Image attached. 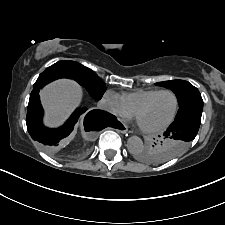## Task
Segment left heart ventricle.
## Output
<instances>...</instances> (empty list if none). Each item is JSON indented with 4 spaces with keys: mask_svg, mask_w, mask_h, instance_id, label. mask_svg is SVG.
I'll return each mask as SVG.
<instances>
[{
    "mask_svg": "<svg viewBox=\"0 0 225 225\" xmlns=\"http://www.w3.org/2000/svg\"><path fill=\"white\" fill-rule=\"evenodd\" d=\"M175 99L172 94L164 93L157 96L139 115V123L146 128L158 127L172 115Z\"/></svg>",
    "mask_w": 225,
    "mask_h": 225,
    "instance_id": "left-heart-ventricle-1",
    "label": "left heart ventricle"
}]
</instances>
